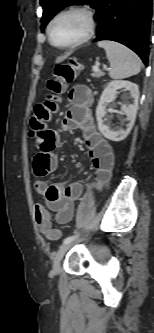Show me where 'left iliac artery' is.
I'll return each mask as SVG.
<instances>
[{
	"instance_id": "1",
	"label": "left iliac artery",
	"mask_w": 154,
	"mask_h": 333,
	"mask_svg": "<svg viewBox=\"0 0 154 333\" xmlns=\"http://www.w3.org/2000/svg\"><path fill=\"white\" fill-rule=\"evenodd\" d=\"M78 235L69 236L64 239L63 244L73 241Z\"/></svg>"
}]
</instances>
